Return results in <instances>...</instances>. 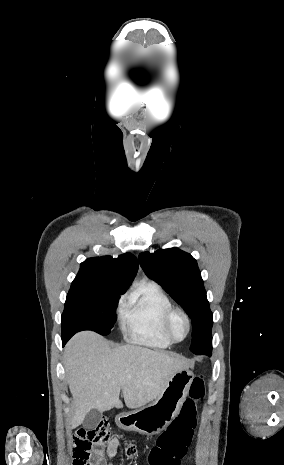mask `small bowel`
I'll return each mask as SVG.
<instances>
[{
  "label": "small bowel",
  "instance_id": "c3829d8e",
  "mask_svg": "<svg viewBox=\"0 0 284 465\" xmlns=\"http://www.w3.org/2000/svg\"><path fill=\"white\" fill-rule=\"evenodd\" d=\"M118 447H119V440L117 437H113L111 441L105 447L107 455L110 458L114 457L117 454ZM94 459L98 463L97 465H102V461L104 460V450L97 449L94 453ZM104 465H112V463L107 462Z\"/></svg>",
  "mask_w": 284,
  "mask_h": 465
}]
</instances>
